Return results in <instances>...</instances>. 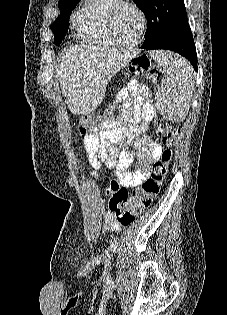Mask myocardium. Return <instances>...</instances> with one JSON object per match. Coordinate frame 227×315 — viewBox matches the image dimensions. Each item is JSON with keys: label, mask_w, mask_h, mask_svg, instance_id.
Wrapping results in <instances>:
<instances>
[{"label": "myocardium", "mask_w": 227, "mask_h": 315, "mask_svg": "<svg viewBox=\"0 0 227 315\" xmlns=\"http://www.w3.org/2000/svg\"><path fill=\"white\" fill-rule=\"evenodd\" d=\"M124 6L133 8L139 14L141 18V29H140L139 37L137 38L136 41L130 44H124L118 41L114 32V23H115L116 16L119 10ZM147 26H148V18L146 16V13L138 4L130 0H116L108 9L107 17H106V31H107V35L110 41L114 45L124 47V48H135L139 46L144 40Z\"/></svg>", "instance_id": "myocardium-1"}]
</instances>
